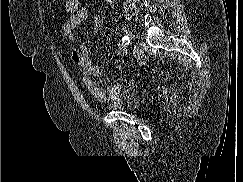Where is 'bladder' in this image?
Instances as JSON below:
<instances>
[{
	"label": "bladder",
	"mask_w": 243,
	"mask_h": 182,
	"mask_svg": "<svg viewBox=\"0 0 243 182\" xmlns=\"http://www.w3.org/2000/svg\"><path fill=\"white\" fill-rule=\"evenodd\" d=\"M146 95L139 91H126L124 94L108 105L112 111H133L146 104Z\"/></svg>",
	"instance_id": "obj_1"
}]
</instances>
